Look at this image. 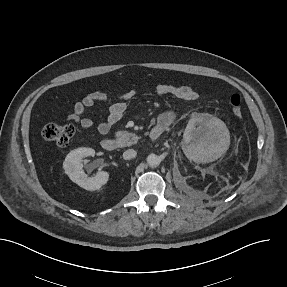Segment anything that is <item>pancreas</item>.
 <instances>
[{
  "label": "pancreas",
  "instance_id": "obj_1",
  "mask_svg": "<svg viewBox=\"0 0 287 287\" xmlns=\"http://www.w3.org/2000/svg\"><path fill=\"white\" fill-rule=\"evenodd\" d=\"M115 137L119 141L121 147L131 146L132 144L137 143L139 139L137 135L127 131H117Z\"/></svg>",
  "mask_w": 287,
  "mask_h": 287
}]
</instances>
